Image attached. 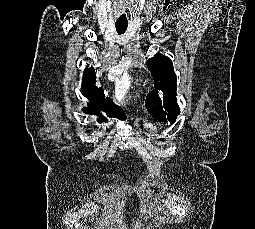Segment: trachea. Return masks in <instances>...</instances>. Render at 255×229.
Instances as JSON below:
<instances>
[{
	"label": "trachea",
	"mask_w": 255,
	"mask_h": 229,
	"mask_svg": "<svg viewBox=\"0 0 255 229\" xmlns=\"http://www.w3.org/2000/svg\"><path fill=\"white\" fill-rule=\"evenodd\" d=\"M116 31L119 35L125 33L128 27V23H115Z\"/></svg>",
	"instance_id": "trachea-1"
}]
</instances>
